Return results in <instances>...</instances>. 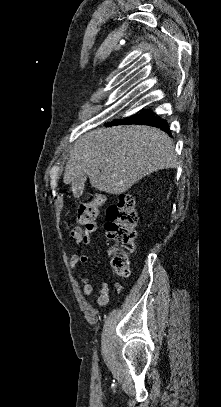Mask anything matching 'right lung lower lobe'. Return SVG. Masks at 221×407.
<instances>
[{
	"instance_id": "obj_1",
	"label": "right lung lower lobe",
	"mask_w": 221,
	"mask_h": 407,
	"mask_svg": "<svg viewBox=\"0 0 221 407\" xmlns=\"http://www.w3.org/2000/svg\"><path fill=\"white\" fill-rule=\"evenodd\" d=\"M113 124H146L154 127L161 128L162 130L169 132L166 121L157 116L150 110H143L139 114H134L124 119L114 120Z\"/></svg>"
}]
</instances>
